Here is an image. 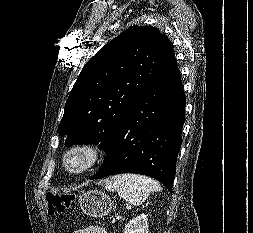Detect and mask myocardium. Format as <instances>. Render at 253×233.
Listing matches in <instances>:
<instances>
[{
  "label": "myocardium",
  "mask_w": 253,
  "mask_h": 233,
  "mask_svg": "<svg viewBox=\"0 0 253 233\" xmlns=\"http://www.w3.org/2000/svg\"><path fill=\"white\" fill-rule=\"evenodd\" d=\"M105 155V148L101 144L92 142L76 143L64 151L61 164L68 175L77 176L93 169ZM74 159H78L79 162L73 164Z\"/></svg>",
  "instance_id": "f54148a6"
}]
</instances>
